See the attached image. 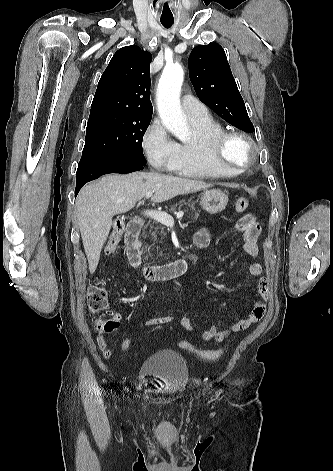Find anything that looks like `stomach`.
<instances>
[{
  "instance_id": "1",
  "label": "stomach",
  "mask_w": 333,
  "mask_h": 471,
  "mask_svg": "<svg viewBox=\"0 0 333 471\" xmlns=\"http://www.w3.org/2000/svg\"><path fill=\"white\" fill-rule=\"evenodd\" d=\"M228 204V195L220 189L206 191L200 200L201 207L209 214L223 211Z\"/></svg>"
}]
</instances>
